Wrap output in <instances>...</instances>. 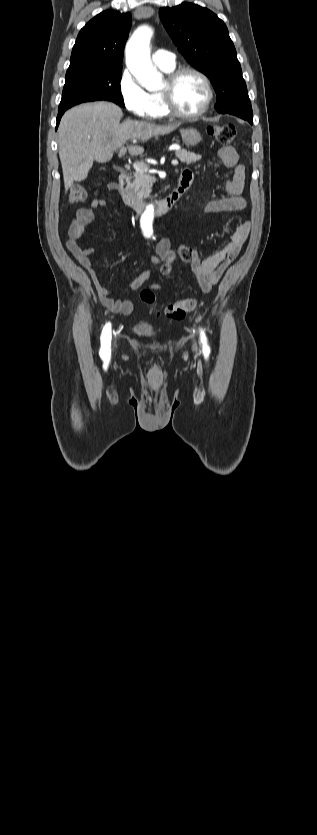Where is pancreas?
<instances>
[{"instance_id":"1","label":"pancreas","mask_w":317,"mask_h":835,"mask_svg":"<svg viewBox=\"0 0 317 835\" xmlns=\"http://www.w3.org/2000/svg\"><path fill=\"white\" fill-rule=\"evenodd\" d=\"M175 156L179 158L181 162L187 165L193 164L201 159V155L195 154L194 152H190L185 149L176 150ZM154 180V177L146 174V171L136 170L134 172L133 182L129 186L128 200L142 201L144 198L149 197L152 191V185Z\"/></svg>"}]
</instances>
